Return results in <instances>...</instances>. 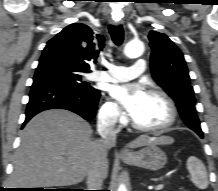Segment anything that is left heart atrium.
Here are the masks:
<instances>
[{"mask_svg": "<svg viewBox=\"0 0 218 191\" xmlns=\"http://www.w3.org/2000/svg\"><path fill=\"white\" fill-rule=\"evenodd\" d=\"M112 95L127 110L129 115L134 118L148 93L140 84H128L114 87L112 89Z\"/></svg>", "mask_w": 218, "mask_h": 191, "instance_id": "obj_1", "label": "left heart atrium"}]
</instances>
